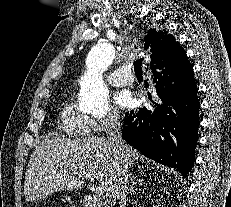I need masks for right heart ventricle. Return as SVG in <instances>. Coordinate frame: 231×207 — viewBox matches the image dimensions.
<instances>
[{
	"instance_id": "obj_1",
	"label": "right heart ventricle",
	"mask_w": 231,
	"mask_h": 207,
	"mask_svg": "<svg viewBox=\"0 0 231 207\" xmlns=\"http://www.w3.org/2000/svg\"><path fill=\"white\" fill-rule=\"evenodd\" d=\"M59 129L73 138H83L91 133L89 118L71 100L67 101L61 109Z\"/></svg>"
}]
</instances>
